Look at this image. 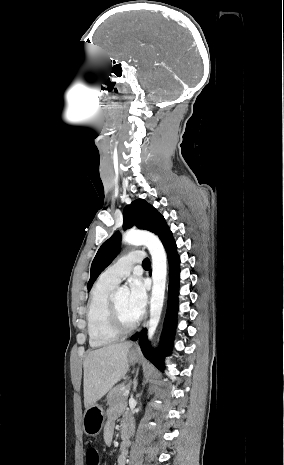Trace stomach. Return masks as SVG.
Masks as SVG:
<instances>
[{
  "instance_id": "obj_1",
  "label": "stomach",
  "mask_w": 284,
  "mask_h": 465,
  "mask_svg": "<svg viewBox=\"0 0 284 465\" xmlns=\"http://www.w3.org/2000/svg\"><path fill=\"white\" fill-rule=\"evenodd\" d=\"M139 355L137 351H131L128 355L129 363H137ZM105 413L100 405H92L86 409L83 415V431L88 437H97L104 427Z\"/></svg>"
}]
</instances>
